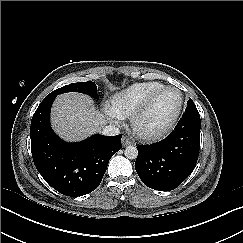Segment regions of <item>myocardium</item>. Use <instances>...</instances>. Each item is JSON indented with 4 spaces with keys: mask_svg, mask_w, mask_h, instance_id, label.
<instances>
[{
    "mask_svg": "<svg viewBox=\"0 0 243 243\" xmlns=\"http://www.w3.org/2000/svg\"><path fill=\"white\" fill-rule=\"evenodd\" d=\"M168 90H177L180 93V104L178 107V110L174 117L161 129L152 131V132H146L139 128V120L142 117V115L149 109V107L152 105V103L157 99L158 96H160L163 92ZM184 99L185 95L184 92L173 85L164 86L157 91H155L153 94H151L131 115L130 117V127L133 133L138 136L140 139L144 141H153L160 139L164 135H166L172 128L176 125L178 122L182 111L184 107Z\"/></svg>",
    "mask_w": 243,
    "mask_h": 243,
    "instance_id": "myocardium-1",
    "label": "myocardium"
}]
</instances>
